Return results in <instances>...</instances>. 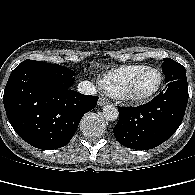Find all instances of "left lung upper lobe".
Here are the masks:
<instances>
[{"label": "left lung upper lobe", "mask_w": 195, "mask_h": 195, "mask_svg": "<svg viewBox=\"0 0 195 195\" xmlns=\"http://www.w3.org/2000/svg\"><path fill=\"white\" fill-rule=\"evenodd\" d=\"M162 67L166 82L187 80L185 68L178 62L170 58H164Z\"/></svg>", "instance_id": "obj_1"}]
</instances>
